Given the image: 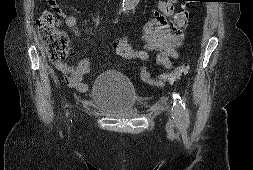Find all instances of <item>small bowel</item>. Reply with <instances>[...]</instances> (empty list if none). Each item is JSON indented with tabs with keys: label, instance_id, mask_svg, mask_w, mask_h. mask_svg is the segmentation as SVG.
Listing matches in <instances>:
<instances>
[{
	"label": "small bowel",
	"instance_id": "obj_1",
	"mask_svg": "<svg viewBox=\"0 0 253 170\" xmlns=\"http://www.w3.org/2000/svg\"><path fill=\"white\" fill-rule=\"evenodd\" d=\"M177 0H160L158 10L154 16L143 26V47L140 49L132 46L125 38L118 39L114 42L112 48L123 58L127 60H140L146 62L150 58V53H154L155 62L163 68L170 70L173 60L177 59V48L183 43L184 26L177 23L176 15L174 25H171L168 18L173 15L174 3ZM49 6L55 10L59 16L56 25H61L64 20L66 25L73 31L74 35L80 36L81 32L77 27L75 16L69 15L64 11L55 0H49ZM55 68L61 72L69 86L76 88L79 92H86L88 84L84 78L91 73L90 60L81 59L76 67H72L65 62L55 63ZM140 78L145 83L151 85H161V82L155 80L148 68H140Z\"/></svg>",
	"mask_w": 253,
	"mask_h": 170
}]
</instances>
